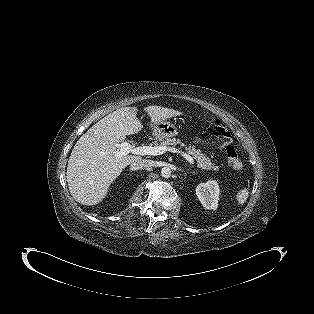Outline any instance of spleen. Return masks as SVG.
Returning a JSON list of instances; mask_svg holds the SVG:
<instances>
[{"mask_svg": "<svg viewBox=\"0 0 314 314\" xmlns=\"http://www.w3.org/2000/svg\"><path fill=\"white\" fill-rule=\"evenodd\" d=\"M249 196V190L247 188H242L241 190L238 191L236 195V200L238 205H243Z\"/></svg>", "mask_w": 314, "mask_h": 314, "instance_id": "3e777b00", "label": "spleen"}]
</instances>
